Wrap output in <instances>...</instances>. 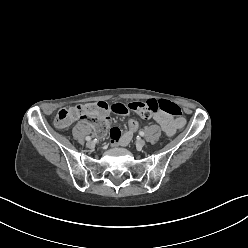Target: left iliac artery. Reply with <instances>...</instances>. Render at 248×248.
Returning a JSON list of instances; mask_svg holds the SVG:
<instances>
[{"mask_svg":"<svg viewBox=\"0 0 248 248\" xmlns=\"http://www.w3.org/2000/svg\"><path fill=\"white\" fill-rule=\"evenodd\" d=\"M139 134H140L141 136H144V132H143V131H140Z\"/></svg>","mask_w":248,"mask_h":248,"instance_id":"obj_1","label":"left iliac artery"}]
</instances>
